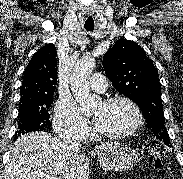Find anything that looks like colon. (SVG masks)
Instances as JSON below:
<instances>
[{"mask_svg": "<svg viewBox=\"0 0 183 179\" xmlns=\"http://www.w3.org/2000/svg\"><path fill=\"white\" fill-rule=\"evenodd\" d=\"M151 154L153 157L154 168H156L157 170H161L162 169V157H161L160 152L158 150H152ZM161 179H171V178L169 176H167L166 174H164L163 172H161Z\"/></svg>", "mask_w": 183, "mask_h": 179, "instance_id": "obj_1", "label": "colon"}]
</instances>
